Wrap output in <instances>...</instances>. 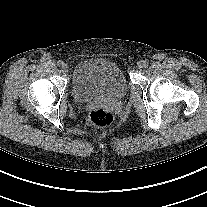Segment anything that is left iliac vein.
<instances>
[{"label": "left iliac vein", "mask_w": 207, "mask_h": 207, "mask_svg": "<svg viewBox=\"0 0 207 207\" xmlns=\"http://www.w3.org/2000/svg\"><path fill=\"white\" fill-rule=\"evenodd\" d=\"M145 66H144V63L142 61L138 62L137 63V68L138 69H143Z\"/></svg>", "instance_id": "1"}]
</instances>
